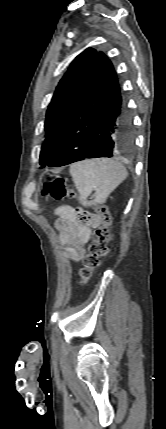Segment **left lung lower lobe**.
I'll return each mask as SVG.
<instances>
[{"label": "left lung lower lobe", "instance_id": "left-lung-lower-lobe-1", "mask_svg": "<svg viewBox=\"0 0 166 429\" xmlns=\"http://www.w3.org/2000/svg\"><path fill=\"white\" fill-rule=\"evenodd\" d=\"M132 119L111 61L97 52L90 77L63 135L43 167L112 157L132 148Z\"/></svg>", "mask_w": 166, "mask_h": 429}]
</instances>
